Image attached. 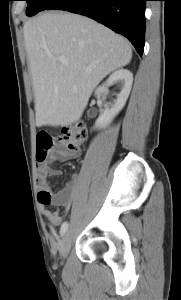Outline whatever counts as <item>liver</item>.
<instances>
[{"instance_id": "1", "label": "liver", "mask_w": 181, "mask_h": 300, "mask_svg": "<svg viewBox=\"0 0 181 300\" xmlns=\"http://www.w3.org/2000/svg\"><path fill=\"white\" fill-rule=\"evenodd\" d=\"M23 33L37 127L78 121L100 81L132 58L131 45L124 37L73 13H43L28 20Z\"/></svg>"}]
</instances>
